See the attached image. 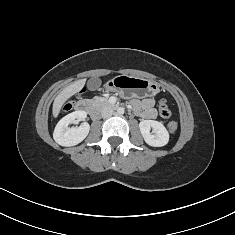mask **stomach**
I'll return each instance as SVG.
<instances>
[{
    "label": "stomach",
    "mask_w": 235,
    "mask_h": 235,
    "mask_svg": "<svg viewBox=\"0 0 235 235\" xmlns=\"http://www.w3.org/2000/svg\"><path fill=\"white\" fill-rule=\"evenodd\" d=\"M108 91L116 92L124 98L154 97L160 91V86L148 79L130 75H118L106 83Z\"/></svg>",
    "instance_id": "stomach-1"
}]
</instances>
